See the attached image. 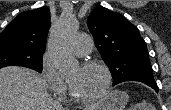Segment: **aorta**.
Listing matches in <instances>:
<instances>
[{
  "label": "aorta",
  "instance_id": "obj_1",
  "mask_svg": "<svg viewBox=\"0 0 171 110\" xmlns=\"http://www.w3.org/2000/svg\"><path fill=\"white\" fill-rule=\"evenodd\" d=\"M78 28L77 20L72 16H62L48 42V52L51 61L60 74H69L77 68L70 43Z\"/></svg>",
  "mask_w": 171,
  "mask_h": 110
}]
</instances>
